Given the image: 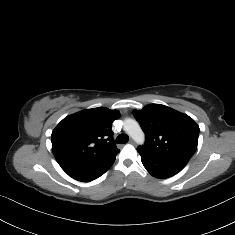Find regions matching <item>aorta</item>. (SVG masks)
Returning <instances> with one entry per match:
<instances>
[{
  "label": "aorta",
  "mask_w": 235,
  "mask_h": 235,
  "mask_svg": "<svg viewBox=\"0 0 235 235\" xmlns=\"http://www.w3.org/2000/svg\"><path fill=\"white\" fill-rule=\"evenodd\" d=\"M124 129L137 143L144 140V133L142 132L139 124L136 121L128 120L124 125Z\"/></svg>",
  "instance_id": "aorta-1"
}]
</instances>
